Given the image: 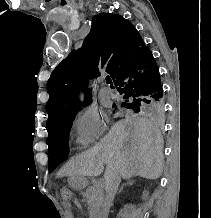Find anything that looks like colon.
<instances>
[{"label": "colon", "mask_w": 211, "mask_h": 218, "mask_svg": "<svg viewBox=\"0 0 211 218\" xmlns=\"http://www.w3.org/2000/svg\"><path fill=\"white\" fill-rule=\"evenodd\" d=\"M60 195L64 200H69L71 198V190L68 187H61Z\"/></svg>", "instance_id": "colon-1"}]
</instances>
